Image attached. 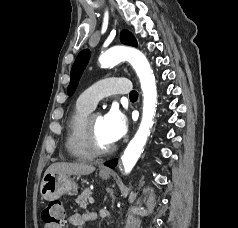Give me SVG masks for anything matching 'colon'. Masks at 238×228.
Returning <instances> with one entry per match:
<instances>
[{"label":"colon","mask_w":238,"mask_h":228,"mask_svg":"<svg viewBox=\"0 0 238 228\" xmlns=\"http://www.w3.org/2000/svg\"><path fill=\"white\" fill-rule=\"evenodd\" d=\"M42 221L45 225L62 224L64 221V209L58 200L50 202L42 211Z\"/></svg>","instance_id":"1"}]
</instances>
